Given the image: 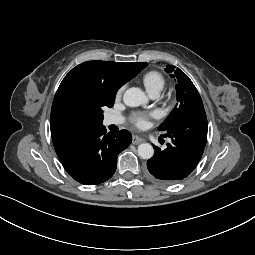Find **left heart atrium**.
<instances>
[{"mask_svg": "<svg viewBox=\"0 0 255 255\" xmlns=\"http://www.w3.org/2000/svg\"><path fill=\"white\" fill-rule=\"evenodd\" d=\"M153 114L136 113L132 117L133 123L139 128H145L148 125V118Z\"/></svg>", "mask_w": 255, "mask_h": 255, "instance_id": "obj_1", "label": "left heart atrium"}]
</instances>
